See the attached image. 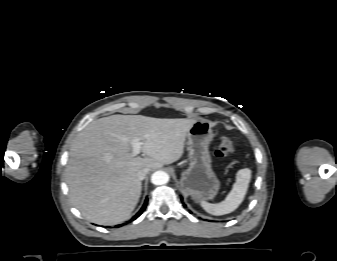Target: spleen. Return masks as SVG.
<instances>
[{"label": "spleen", "instance_id": "1", "mask_svg": "<svg viewBox=\"0 0 337 261\" xmlns=\"http://www.w3.org/2000/svg\"><path fill=\"white\" fill-rule=\"evenodd\" d=\"M250 179L251 170L248 168L240 169L236 174V182L224 201L217 204L202 201L201 206L212 215H224L233 212L244 200Z\"/></svg>", "mask_w": 337, "mask_h": 261}]
</instances>
